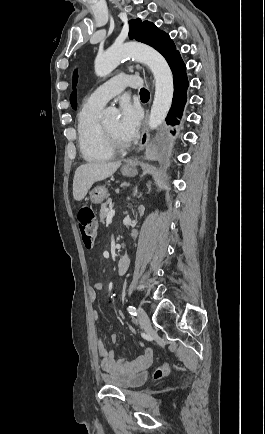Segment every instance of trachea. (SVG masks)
<instances>
[{
    "mask_svg": "<svg viewBox=\"0 0 265 434\" xmlns=\"http://www.w3.org/2000/svg\"><path fill=\"white\" fill-rule=\"evenodd\" d=\"M146 95H149L148 90H146L145 88H142L140 90V96L143 97V96H146Z\"/></svg>",
    "mask_w": 265,
    "mask_h": 434,
    "instance_id": "3493384b",
    "label": "trachea"
}]
</instances>
